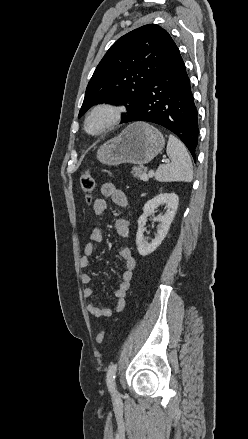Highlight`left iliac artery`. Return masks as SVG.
Listing matches in <instances>:
<instances>
[{
	"label": "left iliac artery",
	"mask_w": 248,
	"mask_h": 439,
	"mask_svg": "<svg viewBox=\"0 0 248 439\" xmlns=\"http://www.w3.org/2000/svg\"><path fill=\"white\" fill-rule=\"evenodd\" d=\"M116 371H117V364H112L107 372V385L110 391H113L115 387Z\"/></svg>",
	"instance_id": "44dca946"
}]
</instances>
